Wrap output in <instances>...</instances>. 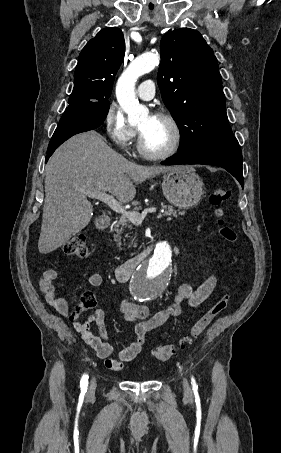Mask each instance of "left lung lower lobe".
<instances>
[{
  "label": "left lung lower lobe",
  "mask_w": 281,
  "mask_h": 453,
  "mask_svg": "<svg viewBox=\"0 0 281 453\" xmlns=\"http://www.w3.org/2000/svg\"><path fill=\"white\" fill-rule=\"evenodd\" d=\"M163 165L205 164L220 166L231 173L241 184L243 181L242 152L235 137L178 152L162 162Z\"/></svg>",
  "instance_id": "obj_1"
}]
</instances>
